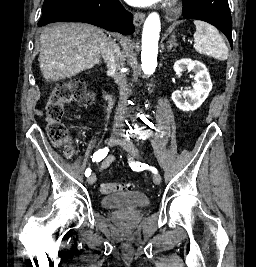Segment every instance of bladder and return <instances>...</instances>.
<instances>
[{
    "instance_id": "31cf9c89",
    "label": "bladder",
    "mask_w": 256,
    "mask_h": 267,
    "mask_svg": "<svg viewBox=\"0 0 256 267\" xmlns=\"http://www.w3.org/2000/svg\"><path fill=\"white\" fill-rule=\"evenodd\" d=\"M101 206L105 208H130L140 205L149 206L148 195H105L100 199Z\"/></svg>"
}]
</instances>
